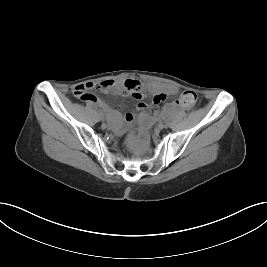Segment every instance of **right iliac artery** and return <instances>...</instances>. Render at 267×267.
Segmentation results:
<instances>
[{
  "label": "right iliac artery",
  "instance_id": "82829eb1",
  "mask_svg": "<svg viewBox=\"0 0 267 267\" xmlns=\"http://www.w3.org/2000/svg\"><path fill=\"white\" fill-rule=\"evenodd\" d=\"M96 112H97L99 115L103 114L102 111H101L100 109H97Z\"/></svg>",
  "mask_w": 267,
  "mask_h": 267
}]
</instances>
